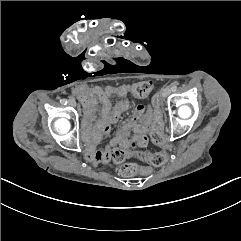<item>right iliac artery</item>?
Wrapping results in <instances>:
<instances>
[{"instance_id": "obj_1", "label": "right iliac artery", "mask_w": 241, "mask_h": 241, "mask_svg": "<svg viewBox=\"0 0 241 241\" xmlns=\"http://www.w3.org/2000/svg\"><path fill=\"white\" fill-rule=\"evenodd\" d=\"M60 102L64 105L67 104V101L65 99L60 100Z\"/></svg>"}]
</instances>
